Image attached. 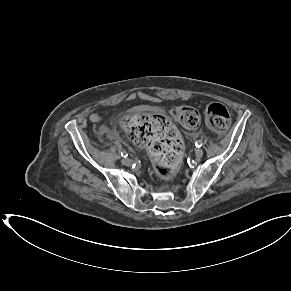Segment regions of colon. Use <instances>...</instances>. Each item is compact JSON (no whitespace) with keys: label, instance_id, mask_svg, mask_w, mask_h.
Segmentation results:
<instances>
[{"label":"colon","instance_id":"1","mask_svg":"<svg viewBox=\"0 0 291 291\" xmlns=\"http://www.w3.org/2000/svg\"><path fill=\"white\" fill-rule=\"evenodd\" d=\"M204 116L206 123L216 131H224L230 124L227 108L219 103L207 105ZM173 117L189 129H195L200 124L199 113L190 106H176ZM122 127L136 144L150 151L161 179L169 180L176 175L182 159L183 142L167 118L156 114L137 113L124 118Z\"/></svg>","mask_w":291,"mask_h":291}]
</instances>
